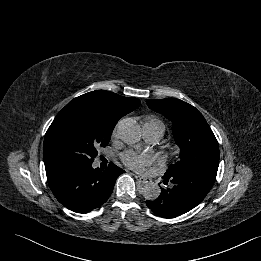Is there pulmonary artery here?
<instances>
[{"mask_svg": "<svg viewBox=\"0 0 261 261\" xmlns=\"http://www.w3.org/2000/svg\"><path fill=\"white\" fill-rule=\"evenodd\" d=\"M163 132L164 126L161 122L148 123L143 126L144 138L149 143L159 141L163 135Z\"/></svg>", "mask_w": 261, "mask_h": 261, "instance_id": "pulmonary-artery-1", "label": "pulmonary artery"}]
</instances>
